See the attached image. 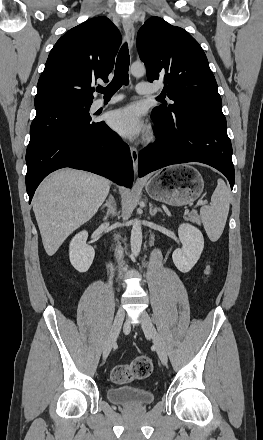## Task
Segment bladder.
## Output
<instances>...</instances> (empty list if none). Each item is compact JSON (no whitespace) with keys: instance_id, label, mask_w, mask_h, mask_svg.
I'll list each match as a JSON object with an SVG mask.
<instances>
[{"instance_id":"1","label":"bladder","mask_w":263,"mask_h":440,"mask_svg":"<svg viewBox=\"0 0 263 440\" xmlns=\"http://www.w3.org/2000/svg\"><path fill=\"white\" fill-rule=\"evenodd\" d=\"M106 395L109 401L129 409L145 408L154 401L152 392L133 386L109 387Z\"/></svg>"}]
</instances>
